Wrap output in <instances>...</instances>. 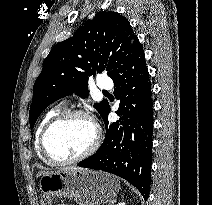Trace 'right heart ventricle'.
Returning <instances> with one entry per match:
<instances>
[{"instance_id": "right-heart-ventricle-1", "label": "right heart ventricle", "mask_w": 212, "mask_h": 205, "mask_svg": "<svg viewBox=\"0 0 212 205\" xmlns=\"http://www.w3.org/2000/svg\"><path fill=\"white\" fill-rule=\"evenodd\" d=\"M63 111V107L62 106H57L54 107L52 109H50L42 118L37 130H36V134H35V149L37 154L39 155V157L46 163L48 164H53L51 163L49 160H47L44 155L42 154L41 150H40V146H39V139H40V135L41 132L43 130V128L45 127V125L49 122L50 119H52L54 116H56L57 114H59L60 112Z\"/></svg>"}]
</instances>
